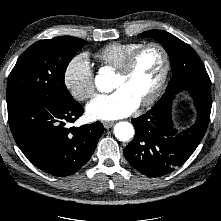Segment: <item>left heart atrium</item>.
I'll list each match as a JSON object with an SVG mask.
<instances>
[{"label":"left heart atrium","instance_id":"obj_1","mask_svg":"<svg viewBox=\"0 0 221 221\" xmlns=\"http://www.w3.org/2000/svg\"><path fill=\"white\" fill-rule=\"evenodd\" d=\"M139 103L125 90L116 89L110 94H99L87 105V114L92 119L113 120L134 112Z\"/></svg>","mask_w":221,"mask_h":221}]
</instances>
